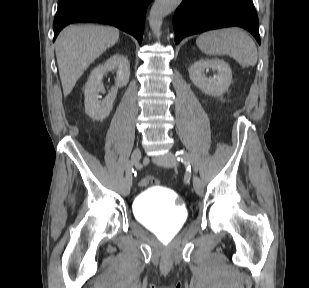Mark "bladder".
<instances>
[{"mask_svg":"<svg viewBox=\"0 0 309 288\" xmlns=\"http://www.w3.org/2000/svg\"><path fill=\"white\" fill-rule=\"evenodd\" d=\"M133 211L142 226L159 234L179 232L188 215L179 197L160 187L143 190L134 199Z\"/></svg>","mask_w":309,"mask_h":288,"instance_id":"1","label":"bladder"}]
</instances>
